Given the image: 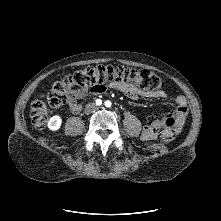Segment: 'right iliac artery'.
<instances>
[{
    "label": "right iliac artery",
    "instance_id": "1",
    "mask_svg": "<svg viewBox=\"0 0 221 221\" xmlns=\"http://www.w3.org/2000/svg\"><path fill=\"white\" fill-rule=\"evenodd\" d=\"M96 104H97V105H101V104H102V100H101V99H97V100H96Z\"/></svg>",
    "mask_w": 221,
    "mask_h": 221
}]
</instances>
